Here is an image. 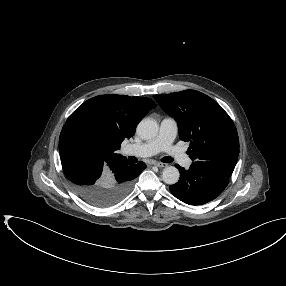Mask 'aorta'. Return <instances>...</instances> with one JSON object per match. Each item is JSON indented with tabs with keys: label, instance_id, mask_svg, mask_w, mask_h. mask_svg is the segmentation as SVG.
Returning a JSON list of instances; mask_svg holds the SVG:
<instances>
[{
	"label": "aorta",
	"instance_id": "762f6f07",
	"mask_svg": "<svg viewBox=\"0 0 286 286\" xmlns=\"http://www.w3.org/2000/svg\"><path fill=\"white\" fill-rule=\"evenodd\" d=\"M159 130V126L154 119L144 118L137 125V134L142 139L154 138ZM179 170L174 166H167L162 172V180L164 183L173 185L179 180Z\"/></svg>",
	"mask_w": 286,
	"mask_h": 286
}]
</instances>
